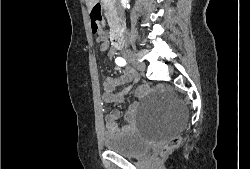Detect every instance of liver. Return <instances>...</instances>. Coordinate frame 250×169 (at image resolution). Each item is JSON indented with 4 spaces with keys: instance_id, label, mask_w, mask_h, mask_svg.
<instances>
[{
    "instance_id": "1",
    "label": "liver",
    "mask_w": 250,
    "mask_h": 169,
    "mask_svg": "<svg viewBox=\"0 0 250 169\" xmlns=\"http://www.w3.org/2000/svg\"><path fill=\"white\" fill-rule=\"evenodd\" d=\"M96 2H98V0H86L88 10H91V8H93V6H94V4H96Z\"/></svg>"
}]
</instances>
